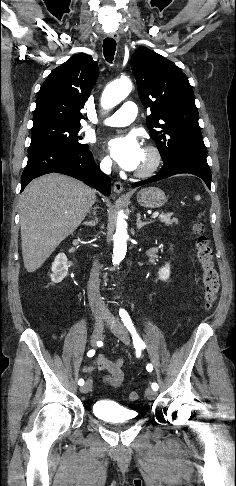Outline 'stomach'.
Here are the masks:
<instances>
[{"label":"stomach","mask_w":236,"mask_h":486,"mask_svg":"<svg viewBox=\"0 0 236 486\" xmlns=\"http://www.w3.org/2000/svg\"><path fill=\"white\" fill-rule=\"evenodd\" d=\"M137 203L146 208H159L166 201L165 193L157 187H147L141 189L136 196Z\"/></svg>","instance_id":"stomach-1"}]
</instances>
